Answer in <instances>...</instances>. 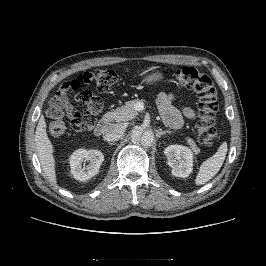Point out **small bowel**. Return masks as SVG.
Listing matches in <instances>:
<instances>
[{"mask_svg":"<svg viewBox=\"0 0 266 266\" xmlns=\"http://www.w3.org/2000/svg\"><path fill=\"white\" fill-rule=\"evenodd\" d=\"M175 101V97L169 93H161L158 96V107L160 113L165 121V123L171 128H179L183 123L182 116L184 115L187 118H195V112L191 108H184L183 112H179L174 106L173 103ZM72 110L71 103L66 100L62 106L59 108V112L64 114H68Z\"/></svg>","mask_w":266,"mask_h":266,"instance_id":"c3829d8e","label":"small bowel"}]
</instances>
